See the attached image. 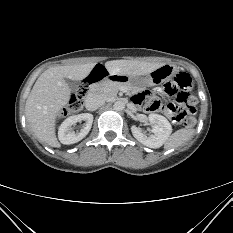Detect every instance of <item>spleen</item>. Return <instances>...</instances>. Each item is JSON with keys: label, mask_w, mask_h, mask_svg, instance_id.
Returning <instances> with one entry per match:
<instances>
[{"label": "spleen", "mask_w": 233, "mask_h": 233, "mask_svg": "<svg viewBox=\"0 0 233 233\" xmlns=\"http://www.w3.org/2000/svg\"><path fill=\"white\" fill-rule=\"evenodd\" d=\"M194 134V129L183 128L174 132L165 144V149L176 148L188 142Z\"/></svg>", "instance_id": "1"}]
</instances>
